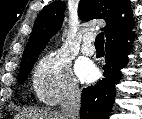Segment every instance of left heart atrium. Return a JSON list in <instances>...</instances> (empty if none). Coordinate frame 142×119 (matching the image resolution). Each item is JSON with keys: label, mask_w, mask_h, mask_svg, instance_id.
<instances>
[{"label": "left heart atrium", "mask_w": 142, "mask_h": 119, "mask_svg": "<svg viewBox=\"0 0 142 119\" xmlns=\"http://www.w3.org/2000/svg\"><path fill=\"white\" fill-rule=\"evenodd\" d=\"M77 74L82 82L89 83L96 79L98 70L91 63H81L77 68Z\"/></svg>", "instance_id": "obj_1"}]
</instances>
